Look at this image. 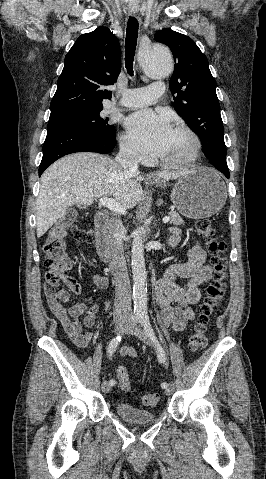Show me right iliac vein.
<instances>
[{
  "instance_id": "1",
  "label": "right iliac vein",
  "mask_w": 266,
  "mask_h": 479,
  "mask_svg": "<svg viewBox=\"0 0 266 479\" xmlns=\"http://www.w3.org/2000/svg\"><path fill=\"white\" fill-rule=\"evenodd\" d=\"M128 328V323L127 322H119L115 326V331L118 335L122 334L124 331H126ZM102 391L104 393H108L111 390V385L107 381H103L101 385Z\"/></svg>"
}]
</instances>
